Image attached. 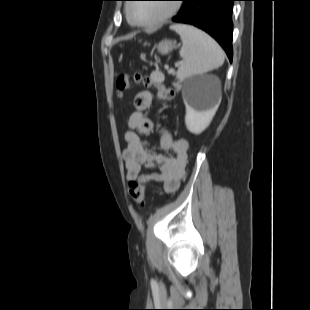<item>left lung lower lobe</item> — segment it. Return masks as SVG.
I'll use <instances>...</instances> for the list:
<instances>
[{
    "label": "left lung lower lobe",
    "mask_w": 310,
    "mask_h": 310,
    "mask_svg": "<svg viewBox=\"0 0 310 310\" xmlns=\"http://www.w3.org/2000/svg\"><path fill=\"white\" fill-rule=\"evenodd\" d=\"M234 1L237 0H184L179 13L172 20L207 32L222 46L232 62Z\"/></svg>",
    "instance_id": "obj_1"
}]
</instances>
